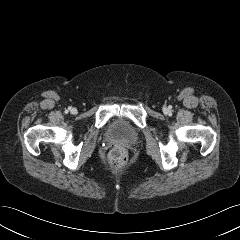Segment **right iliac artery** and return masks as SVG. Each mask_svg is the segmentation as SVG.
Here are the masks:
<instances>
[{
    "instance_id": "obj_1",
    "label": "right iliac artery",
    "mask_w": 240,
    "mask_h": 240,
    "mask_svg": "<svg viewBox=\"0 0 240 240\" xmlns=\"http://www.w3.org/2000/svg\"><path fill=\"white\" fill-rule=\"evenodd\" d=\"M68 109L70 110V109H71V107H68ZM66 112H68V111H66Z\"/></svg>"
}]
</instances>
